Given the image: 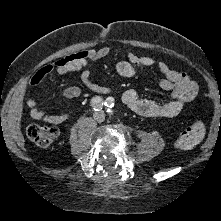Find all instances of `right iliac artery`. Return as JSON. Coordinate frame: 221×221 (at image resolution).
Returning a JSON list of instances; mask_svg holds the SVG:
<instances>
[{
  "mask_svg": "<svg viewBox=\"0 0 221 221\" xmlns=\"http://www.w3.org/2000/svg\"><path fill=\"white\" fill-rule=\"evenodd\" d=\"M91 106L95 111L102 110L103 106L105 105V102L100 96H96L91 100Z\"/></svg>",
  "mask_w": 221,
  "mask_h": 221,
  "instance_id": "right-iliac-artery-1",
  "label": "right iliac artery"
}]
</instances>
